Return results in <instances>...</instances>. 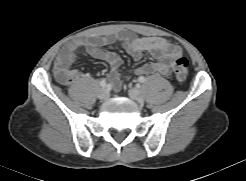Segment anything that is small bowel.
Returning <instances> with one entry per match:
<instances>
[{"label": "small bowel", "mask_w": 246, "mask_h": 181, "mask_svg": "<svg viewBox=\"0 0 246 181\" xmlns=\"http://www.w3.org/2000/svg\"><path fill=\"white\" fill-rule=\"evenodd\" d=\"M119 42L125 44L128 53L135 60H140L145 53L155 58V61L136 67L134 73L137 75L167 76L170 74L172 62L183 54L179 46L160 37L138 38L128 32L106 36L77 37L68 42L58 54L54 63V72L60 79L61 74L65 72H72L76 78L78 72L72 69L71 65L77 58L78 50L83 49L90 57L103 60L111 66L110 79L113 86L119 88L122 82V75L119 72L122 59L117 52L106 49L107 46Z\"/></svg>", "instance_id": "small-bowel-1"}]
</instances>
